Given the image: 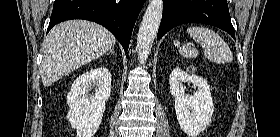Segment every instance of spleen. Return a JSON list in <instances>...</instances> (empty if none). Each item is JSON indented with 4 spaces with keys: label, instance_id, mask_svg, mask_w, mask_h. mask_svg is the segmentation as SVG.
Listing matches in <instances>:
<instances>
[{
    "label": "spleen",
    "instance_id": "3e777b00",
    "mask_svg": "<svg viewBox=\"0 0 280 137\" xmlns=\"http://www.w3.org/2000/svg\"><path fill=\"white\" fill-rule=\"evenodd\" d=\"M187 33L196 43L202 45L207 59L219 64L230 63L233 60V54L227 43L212 29L192 26L187 29ZM174 45L179 48L180 54L186 58H196L198 56V50L189 45L181 46L178 40L174 41Z\"/></svg>",
    "mask_w": 280,
    "mask_h": 137
}]
</instances>
